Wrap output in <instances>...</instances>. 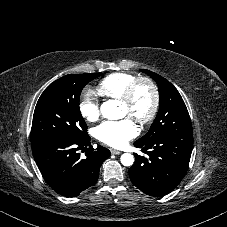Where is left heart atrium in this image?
Segmentation results:
<instances>
[{
  "label": "left heart atrium",
  "instance_id": "obj_1",
  "mask_svg": "<svg viewBox=\"0 0 227 227\" xmlns=\"http://www.w3.org/2000/svg\"><path fill=\"white\" fill-rule=\"evenodd\" d=\"M138 134V130L129 118L107 120L95 129V135L102 143L121 148Z\"/></svg>",
  "mask_w": 227,
  "mask_h": 227
}]
</instances>
